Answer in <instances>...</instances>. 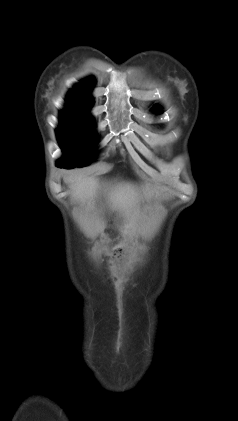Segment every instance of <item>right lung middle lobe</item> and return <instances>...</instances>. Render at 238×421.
<instances>
[{"label": "right lung middle lobe", "mask_w": 238, "mask_h": 421, "mask_svg": "<svg viewBox=\"0 0 238 421\" xmlns=\"http://www.w3.org/2000/svg\"><path fill=\"white\" fill-rule=\"evenodd\" d=\"M90 104L67 102L69 112H61V126L56 134L63 152L58 161L61 168L82 167L93 158L97 136L93 119L89 116Z\"/></svg>", "instance_id": "1"}]
</instances>
